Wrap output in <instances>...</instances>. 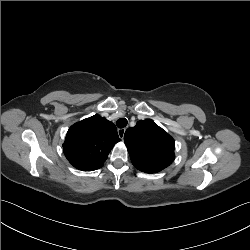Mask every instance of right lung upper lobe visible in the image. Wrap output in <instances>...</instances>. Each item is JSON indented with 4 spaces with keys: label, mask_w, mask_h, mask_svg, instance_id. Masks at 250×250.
Segmentation results:
<instances>
[{
    "label": "right lung upper lobe",
    "mask_w": 250,
    "mask_h": 250,
    "mask_svg": "<svg viewBox=\"0 0 250 250\" xmlns=\"http://www.w3.org/2000/svg\"><path fill=\"white\" fill-rule=\"evenodd\" d=\"M120 140L111 121L94 115L69 128L63 144L64 154L77 169L93 171L103 166L109 152Z\"/></svg>",
    "instance_id": "right-lung-upper-lobe-1"
}]
</instances>
